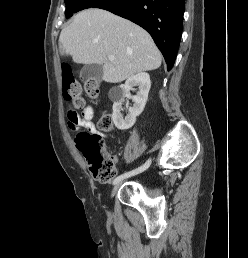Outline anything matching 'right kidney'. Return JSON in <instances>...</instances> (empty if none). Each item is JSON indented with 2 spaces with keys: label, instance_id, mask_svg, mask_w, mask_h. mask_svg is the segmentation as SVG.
Segmentation results:
<instances>
[{
  "label": "right kidney",
  "instance_id": "right-kidney-1",
  "mask_svg": "<svg viewBox=\"0 0 248 258\" xmlns=\"http://www.w3.org/2000/svg\"><path fill=\"white\" fill-rule=\"evenodd\" d=\"M134 86H139V90L135 96L131 97L130 90ZM150 87L149 74L141 72L130 77L125 84L115 87L109 92V96L113 100L112 120L118 129L127 130L135 124L136 117L144 110ZM125 97L132 98L134 104L129 108L128 115L123 117L121 110Z\"/></svg>",
  "mask_w": 248,
  "mask_h": 258
}]
</instances>
